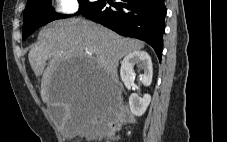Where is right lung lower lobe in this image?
I'll list each match as a JSON object with an SVG mask.
<instances>
[{"label":"right lung lower lobe","mask_w":227,"mask_h":142,"mask_svg":"<svg viewBox=\"0 0 227 142\" xmlns=\"http://www.w3.org/2000/svg\"><path fill=\"white\" fill-rule=\"evenodd\" d=\"M113 6L115 9H112ZM166 8L164 0H100L87 8L83 16L113 31L150 44L159 60L162 56Z\"/></svg>","instance_id":"obj_1"}]
</instances>
